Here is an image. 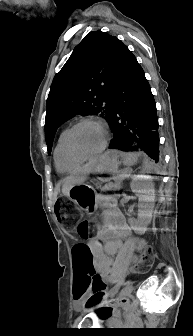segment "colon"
<instances>
[{
    "instance_id": "obj_1",
    "label": "colon",
    "mask_w": 193,
    "mask_h": 336,
    "mask_svg": "<svg viewBox=\"0 0 193 336\" xmlns=\"http://www.w3.org/2000/svg\"><path fill=\"white\" fill-rule=\"evenodd\" d=\"M56 209L58 211L59 220L67 229H76L78 235L82 239H88L92 235L94 226L86 220H80L79 213L75 210V206L69 199H58L56 202ZM73 260L74 267L79 274V279L75 285V296L77 299L85 298V302L88 304L96 297L97 292L94 289V294L92 296L86 295V286L91 283L96 285H102L103 283L100 279L93 280L96 274L87 245L79 244L74 247ZM152 260L153 250L147 248L139 259V268L141 270L147 269L151 265Z\"/></svg>"
}]
</instances>
